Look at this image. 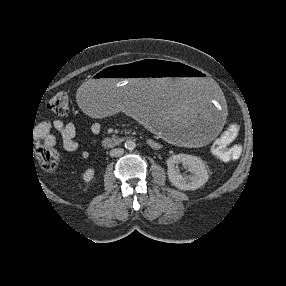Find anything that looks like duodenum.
I'll use <instances>...</instances> for the list:
<instances>
[{"label": "duodenum", "mask_w": 286, "mask_h": 286, "mask_svg": "<svg viewBox=\"0 0 286 286\" xmlns=\"http://www.w3.org/2000/svg\"><path fill=\"white\" fill-rule=\"evenodd\" d=\"M123 141L124 139L121 137H110L106 138L103 141V145L109 148V147L119 146Z\"/></svg>", "instance_id": "duodenum-1"}]
</instances>
